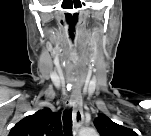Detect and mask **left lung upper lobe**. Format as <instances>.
<instances>
[{"mask_svg":"<svg viewBox=\"0 0 151 136\" xmlns=\"http://www.w3.org/2000/svg\"><path fill=\"white\" fill-rule=\"evenodd\" d=\"M94 125L101 136H133L134 131L116 124L107 116H99L94 120Z\"/></svg>","mask_w":151,"mask_h":136,"instance_id":"5c2ea615","label":"left lung upper lobe"}]
</instances>
